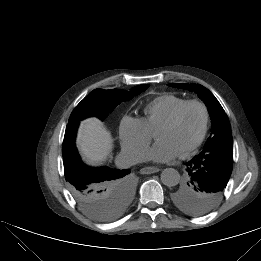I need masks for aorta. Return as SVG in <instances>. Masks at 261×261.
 Listing matches in <instances>:
<instances>
[{
  "mask_svg": "<svg viewBox=\"0 0 261 261\" xmlns=\"http://www.w3.org/2000/svg\"><path fill=\"white\" fill-rule=\"evenodd\" d=\"M180 181V174L174 168H166L161 173V182L168 186L173 187L176 186Z\"/></svg>",
  "mask_w": 261,
  "mask_h": 261,
  "instance_id": "aorta-1",
  "label": "aorta"
}]
</instances>
